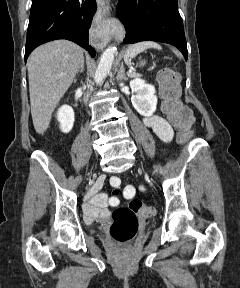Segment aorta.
<instances>
[{
	"label": "aorta",
	"instance_id": "1",
	"mask_svg": "<svg viewBox=\"0 0 240 288\" xmlns=\"http://www.w3.org/2000/svg\"><path fill=\"white\" fill-rule=\"evenodd\" d=\"M116 50L117 48L115 46H109L101 55L94 75V81L96 84H100L111 70Z\"/></svg>",
	"mask_w": 240,
	"mask_h": 288
}]
</instances>
